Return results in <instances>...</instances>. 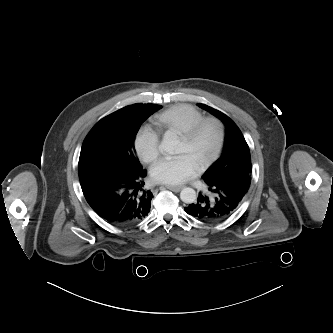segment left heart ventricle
I'll return each mask as SVG.
<instances>
[{"mask_svg": "<svg viewBox=\"0 0 333 333\" xmlns=\"http://www.w3.org/2000/svg\"><path fill=\"white\" fill-rule=\"evenodd\" d=\"M217 143V130L212 124L206 125L197 138L188 143L179 139L178 154H186L197 165L206 160L213 153Z\"/></svg>", "mask_w": 333, "mask_h": 333, "instance_id": "b2bd125f", "label": "left heart ventricle"}]
</instances>
